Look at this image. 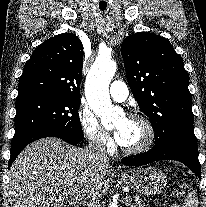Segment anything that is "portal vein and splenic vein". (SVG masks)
Instances as JSON below:
<instances>
[{"instance_id":"obj_1","label":"portal vein and splenic vein","mask_w":206,"mask_h":207,"mask_svg":"<svg viewBox=\"0 0 206 207\" xmlns=\"http://www.w3.org/2000/svg\"><path fill=\"white\" fill-rule=\"evenodd\" d=\"M66 197L67 196H70L71 198H73L75 201H78V202H83L84 200L81 198V195L77 192H66L65 193ZM125 202H129L130 200L128 198H125L124 200ZM98 206V204H95L94 206Z\"/></svg>"}]
</instances>
